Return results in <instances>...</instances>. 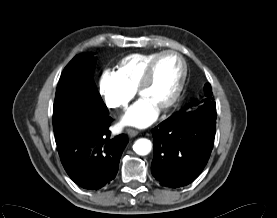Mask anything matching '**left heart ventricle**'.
I'll return each mask as SVG.
<instances>
[{
  "mask_svg": "<svg viewBox=\"0 0 277 218\" xmlns=\"http://www.w3.org/2000/svg\"><path fill=\"white\" fill-rule=\"evenodd\" d=\"M182 66L174 55L164 56L155 67L154 76L141 95L149 98L158 108L175 92L180 81Z\"/></svg>",
  "mask_w": 277,
  "mask_h": 218,
  "instance_id": "obj_1",
  "label": "left heart ventricle"
}]
</instances>
